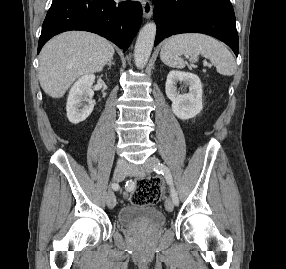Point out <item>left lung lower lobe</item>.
Masks as SVG:
<instances>
[{"label": "left lung lower lobe", "mask_w": 286, "mask_h": 269, "mask_svg": "<svg viewBox=\"0 0 286 269\" xmlns=\"http://www.w3.org/2000/svg\"><path fill=\"white\" fill-rule=\"evenodd\" d=\"M157 23L155 46L174 34H208L238 55L239 40L230 0H153Z\"/></svg>", "instance_id": "left-lung-lower-lobe-1"}]
</instances>
